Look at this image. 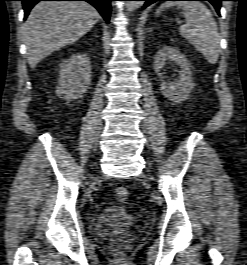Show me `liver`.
<instances>
[{
	"label": "liver",
	"instance_id": "1",
	"mask_svg": "<svg viewBox=\"0 0 247 265\" xmlns=\"http://www.w3.org/2000/svg\"><path fill=\"white\" fill-rule=\"evenodd\" d=\"M98 11L82 1H44L24 24L28 63L32 69L51 53L83 37L99 21Z\"/></svg>",
	"mask_w": 247,
	"mask_h": 265
}]
</instances>
